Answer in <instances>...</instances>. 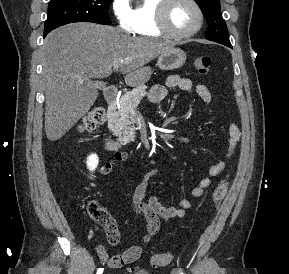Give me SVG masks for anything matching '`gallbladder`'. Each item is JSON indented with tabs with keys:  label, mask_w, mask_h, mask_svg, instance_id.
I'll use <instances>...</instances> for the list:
<instances>
[{
	"label": "gallbladder",
	"mask_w": 289,
	"mask_h": 274,
	"mask_svg": "<svg viewBox=\"0 0 289 274\" xmlns=\"http://www.w3.org/2000/svg\"><path fill=\"white\" fill-rule=\"evenodd\" d=\"M105 83L104 82H97V87L98 89H104L105 88Z\"/></svg>",
	"instance_id": "1"
}]
</instances>
